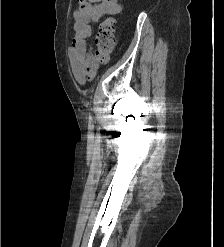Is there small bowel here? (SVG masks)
I'll use <instances>...</instances> for the list:
<instances>
[{
	"instance_id": "small-bowel-1",
	"label": "small bowel",
	"mask_w": 224,
	"mask_h": 247,
	"mask_svg": "<svg viewBox=\"0 0 224 247\" xmlns=\"http://www.w3.org/2000/svg\"><path fill=\"white\" fill-rule=\"evenodd\" d=\"M74 12V34L69 48L72 71L81 84L92 79L98 69V61L87 45L92 34V24H97L104 15H117L122 6L117 0H78Z\"/></svg>"
}]
</instances>
